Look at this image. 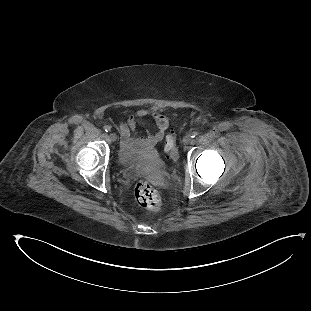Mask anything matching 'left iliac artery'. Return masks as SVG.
<instances>
[{
	"instance_id": "44dca946",
	"label": "left iliac artery",
	"mask_w": 311,
	"mask_h": 311,
	"mask_svg": "<svg viewBox=\"0 0 311 311\" xmlns=\"http://www.w3.org/2000/svg\"><path fill=\"white\" fill-rule=\"evenodd\" d=\"M197 135H198V132H196V131H193V132L191 133V137H192V138L196 137Z\"/></svg>"
}]
</instances>
